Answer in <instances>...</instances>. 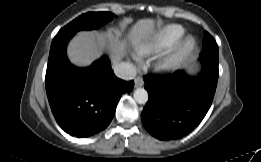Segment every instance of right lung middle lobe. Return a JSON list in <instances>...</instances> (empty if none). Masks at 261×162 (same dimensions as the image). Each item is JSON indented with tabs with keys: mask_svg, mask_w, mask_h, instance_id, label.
Segmentation results:
<instances>
[{
	"mask_svg": "<svg viewBox=\"0 0 261 162\" xmlns=\"http://www.w3.org/2000/svg\"><path fill=\"white\" fill-rule=\"evenodd\" d=\"M114 14L110 12H89L63 27L57 35L75 34L79 30L96 29L113 19Z\"/></svg>",
	"mask_w": 261,
	"mask_h": 162,
	"instance_id": "dd1d6c3e",
	"label": "right lung middle lobe"
}]
</instances>
